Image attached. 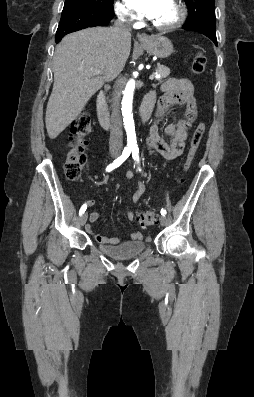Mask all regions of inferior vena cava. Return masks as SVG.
<instances>
[{
  "mask_svg": "<svg viewBox=\"0 0 254 397\" xmlns=\"http://www.w3.org/2000/svg\"><path fill=\"white\" fill-rule=\"evenodd\" d=\"M131 26L130 22L120 14L118 19L114 23L113 36L118 41H125L131 38L130 34ZM118 72L114 77L118 76ZM121 88V79L118 78L113 86V93L111 98V131H110V148L121 150L123 145V132H122V121L120 115L119 99L116 94Z\"/></svg>",
  "mask_w": 254,
  "mask_h": 397,
  "instance_id": "obj_1",
  "label": "inferior vena cava"
}]
</instances>
